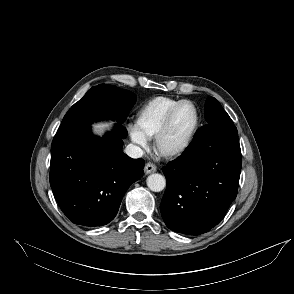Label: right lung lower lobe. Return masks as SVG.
Wrapping results in <instances>:
<instances>
[{
  "label": "right lung lower lobe",
  "instance_id": "obj_1",
  "mask_svg": "<svg viewBox=\"0 0 294 294\" xmlns=\"http://www.w3.org/2000/svg\"><path fill=\"white\" fill-rule=\"evenodd\" d=\"M117 88V87H116ZM98 104L111 105L118 93L100 84L87 92ZM127 131L120 124L103 138L89 125L57 132L51 145L50 185L63 213L75 224L106 225L116 216L129 186L143 174V159L122 152Z\"/></svg>",
  "mask_w": 294,
  "mask_h": 294
}]
</instances>
